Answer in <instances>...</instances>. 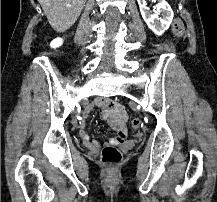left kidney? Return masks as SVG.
<instances>
[{"label":"left kidney","mask_w":217,"mask_h":202,"mask_svg":"<svg viewBox=\"0 0 217 202\" xmlns=\"http://www.w3.org/2000/svg\"><path fill=\"white\" fill-rule=\"evenodd\" d=\"M141 12V16L146 22L148 28L156 34V36H162L165 30H168L172 20H173V12L165 2V0H159V4H156V12L153 14L152 10L148 8L145 0H137ZM162 16V18H159Z\"/></svg>","instance_id":"1"}]
</instances>
